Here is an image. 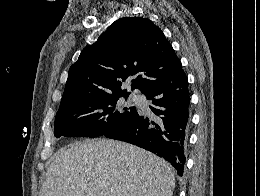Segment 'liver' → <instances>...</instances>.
<instances>
[{
    "label": "liver",
    "mask_w": 260,
    "mask_h": 196,
    "mask_svg": "<svg viewBox=\"0 0 260 196\" xmlns=\"http://www.w3.org/2000/svg\"><path fill=\"white\" fill-rule=\"evenodd\" d=\"M170 164L115 140H87L61 148L39 196H173Z\"/></svg>",
    "instance_id": "liver-1"
}]
</instances>
